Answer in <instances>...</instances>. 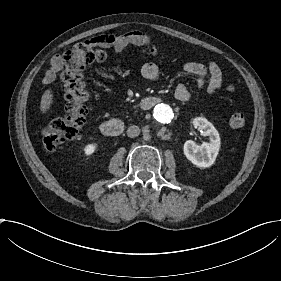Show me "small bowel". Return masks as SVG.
Masks as SVG:
<instances>
[{"label": "small bowel", "mask_w": 281, "mask_h": 281, "mask_svg": "<svg viewBox=\"0 0 281 281\" xmlns=\"http://www.w3.org/2000/svg\"><path fill=\"white\" fill-rule=\"evenodd\" d=\"M151 39L138 31H128L121 34L108 35L102 38L100 46L113 47L115 51L121 52L127 45H149ZM64 63L59 55L51 60V66L45 74V81L50 83L55 80L56 75L63 69ZM186 73L194 76V86L198 89H204L210 95L219 92L221 86V73L213 61L206 64L188 62L183 66ZM144 77L149 81H157L160 72L157 66L152 62H147L142 67ZM175 98L179 102H188L192 99V93L184 83L177 85L175 89Z\"/></svg>", "instance_id": "c3829d8e"}]
</instances>
